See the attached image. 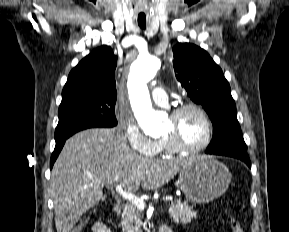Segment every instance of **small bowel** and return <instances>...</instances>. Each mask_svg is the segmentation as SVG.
Masks as SVG:
<instances>
[{"mask_svg":"<svg viewBox=\"0 0 289 232\" xmlns=\"http://www.w3.org/2000/svg\"><path fill=\"white\" fill-rule=\"evenodd\" d=\"M168 229L170 230V232H173L169 227ZM91 231L92 232H112L111 229L104 223L102 222H95L92 226H91Z\"/></svg>","mask_w":289,"mask_h":232,"instance_id":"1","label":"small bowel"}]
</instances>
